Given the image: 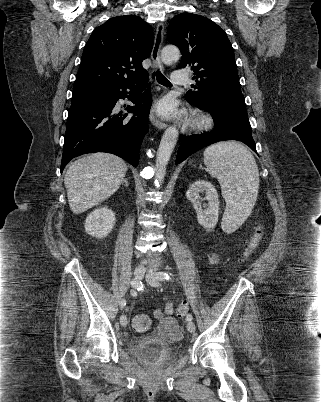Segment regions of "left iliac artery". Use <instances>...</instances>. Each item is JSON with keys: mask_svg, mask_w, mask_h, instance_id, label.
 <instances>
[{"mask_svg": "<svg viewBox=\"0 0 321 402\" xmlns=\"http://www.w3.org/2000/svg\"><path fill=\"white\" fill-rule=\"evenodd\" d=\"M170 275H171V274H170ZM170 275H169L168 273H166V272H159V273L157 274V279H158V280H169V279H170ZM186 319H187L188 321H191V320L193 319V317H192L191 314H188L187 317H186Z\"/></svg>", "mask_w": 321, "mask_h": 402, "instance_id": "1", "label": "left iliac artery"}]
</instances>
